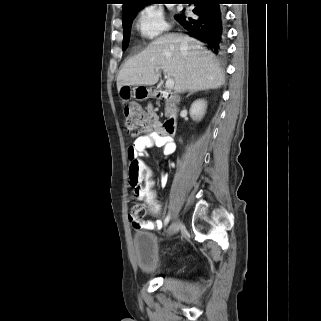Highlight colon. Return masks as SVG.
Masks as SVG:
<instances>
[{
	"mask_svg": "<svg viewBox=\"0 0 321 321\" xmlns=\"http://www.w3.org/2000/svg\"><path fill=\"white\" fill-rule=\"evenodd\" d=\"M125 128L131 136H137L146 131L154 117L146 113L138 104L130 103L124 108ZM129 180L134 188L136 198H144V207L151 215L164 212L165 206L157 201L158 192L154 191L155 181L151 180L148 167L136 156L129 158ZM144 209L134 204L129 213V220L133 225H138L144 216Z\"/></svg>",
	"mask_w": 321,
	"mask_h": 321,
	"instance_id": "colon-1",
	"label": "colon"
}]
</instances>
